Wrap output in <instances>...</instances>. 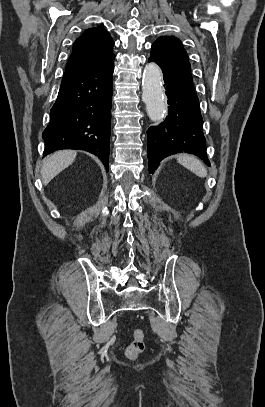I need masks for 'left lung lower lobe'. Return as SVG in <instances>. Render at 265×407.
<instances>
[{"label": "left lung lower lobe", "mask_w": 265, "mask_h": 407, "mask_svg": "<svg viewBox=\"0 0 265 407\" xmlns=\"http://www.w3.org/2000/svg\"><path fill=\"white\" fill-rule=\"evenodd\" d=\"M148 61L153 60L149 58ZM163 74L168 116L159 126L148 129L149 172L153 173L162 159L179 152L195 154L209 165L202 130L203 118L193 84L169 72L163 71Z\"/></svg>", "instance_id": "left-lung-lower-lobe-1"}]
</instances>
